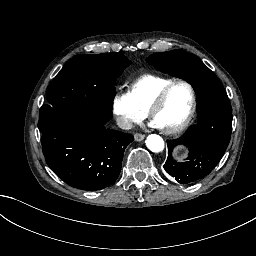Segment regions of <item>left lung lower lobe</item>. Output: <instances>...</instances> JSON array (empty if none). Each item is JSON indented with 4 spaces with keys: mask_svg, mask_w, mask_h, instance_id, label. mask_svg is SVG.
Wrapping results in <instances>:
<instances>
[{
    "mask_svg": "<svg viewBox=\"0 0 256 256\" xmlns=\"http://www.w3.org/2000/svg\"><path fill=\"white\" fill-rule=\"evenodd\" d=\"M169 174L172 177H175V179L181 184H189L205 177V176L178 175L173 173H169Z\"/></svg>",
    "mask_w": 256,
    "mask_h": 256,
    "instance_id": "obj_1",
    "label": "left lung lower lobe"
}]
</instances>
